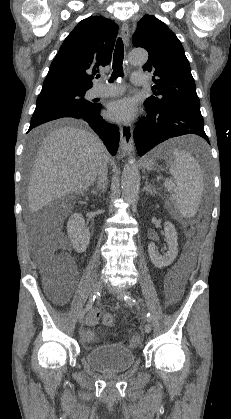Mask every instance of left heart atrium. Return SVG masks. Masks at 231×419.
Listing matches in <instances>:
<instances>
[{
  "instance_id": "obj_1",
  "label": "left heart atrium",
  "mask_w": 231,
  "mask_h": 419,
  "mask_svg": "<svg viewBox=\"0 0 231 419\" xmlns=\"http://www.w3.org/2000/svg\"><path fill=\"white\" fill-rule=\"evenodd\" d=\"M135 115V105L130 98H122L112 102L108 107L110 119L119 122H129Z\"/></svg>"
}]
</instances>
